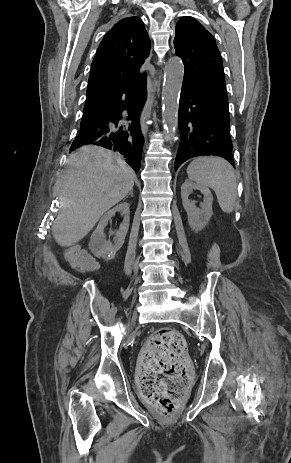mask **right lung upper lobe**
<instances>
[{"label": "right lung upper lobe", "mask_w": 291, "mask_h": 463, "mask_svg": "<svg viewBox=\"0 0 291 463\" xmlns=\"http://www.w3.org/2000/svg\"><path fill=\"white\" fill-rule=\"evenodd\" d=\"M149 51L150 39L139 17L124 18L106 33L91 65L83 119L107 114L146 88L139 70Z\"/></svg>", "instance_id": "1"}]
</instances>
